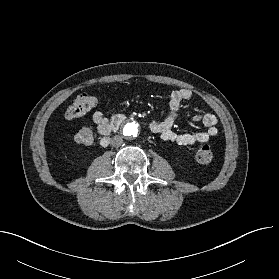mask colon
Masks as SVG:
<instances>
[{
	"instance_id": "1",
	"label": "colon",
	"mask_w": 279,
	"mask_h": 279,
	"mask_svg": "<svg viewBox=\"0 0 279 279\" xmlns=\"http://www.w3.org/2000/svg\"><path fill=\"white\" fill-rule=\"evenodd\" d=\"M96 104L95 97L89 94H81L75 98L67 107L65 116L67 119H77L86 115ZM77 143L89 145L93 141V132L88 127L81 128L75 135ZM199 163L207 164L213 160V152L208 144L201 146L195 154Z\"/></svg>"
}]
</instances>
